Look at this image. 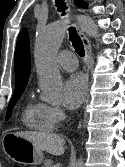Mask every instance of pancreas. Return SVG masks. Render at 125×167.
Segmentation results:
<instances>
[{
    "instance_id": "cf45deb5",
    "label": "pancreas",
    "mask_w": 125,
    "mask_h": 167,
    "mask_svg": "<svg viewBox=\"0 0 125 167\" xmlns=\"http://www.w3.org/2000/svg\"><path fill=\"white\" fill-rule=\"evenodd\" d=\"M43 167H54V166H53V161L50 160V159L45 160Z\"/></svg>"
}]
</instances>
